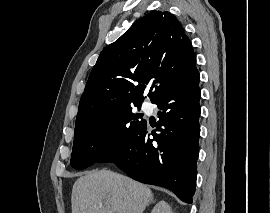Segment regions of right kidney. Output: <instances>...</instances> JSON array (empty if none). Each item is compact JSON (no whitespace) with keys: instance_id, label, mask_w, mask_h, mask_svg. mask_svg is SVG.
<instances>
[{"instance_id":"obj_1","label":"right kidney","mask_w":270,"mask_h":213,"mask_svg":"<svg viewBox=\"0 0 270 213\" xmlns=\"http://www.w3.org/2000/svg\"><path fill=\"white\" fill-rule=\"evenodd\" d=\"M151 213H173L169 204L165 201H160L155 205Z\"/></svg>"}]
</instances>
